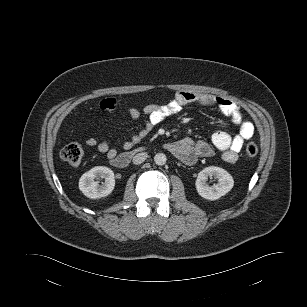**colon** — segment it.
I'll return each mask as SVG.
<instances>
[{"label":"colon","mask_w":307,"mask_h":307,"mask_svg":"<svg viewBox=\"0 0 307 307\" xmlns=\"http://www.w3.org/2000/svg\"><path fill=\"white\" fill-rule=\"evenodd\" d=\"M258 154V147L254 142H249L245 147L247 158H254ZM61 158L69 164H79L83 157L82 147L77 143L65 145L60 152Z\"/></svg>","instance_id":"5ec220e1"}]
</instances>
